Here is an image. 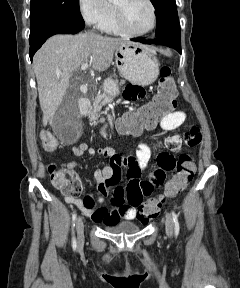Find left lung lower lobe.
Masks as SVG:
<instances>
[{"mask_svg":"<svg viewBox=\"0 0 240 288\" xmlns=\"http://www.w3.org/2000/svg\"><path fill=\"white\" fill-rule=\"evenodd\" d=\"M133 41L136 42H141L144 44H161V45H166L169 47L174 48L181 54V35H161V36H156L155 39H132Z\"/></svg>","mask_w":240,"mask_h":288,"instance_id":"obj_1","label":"left lung lower lobe"}]
</instances>
